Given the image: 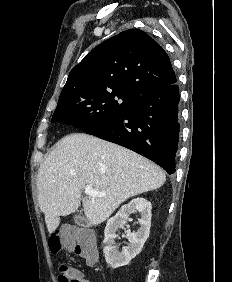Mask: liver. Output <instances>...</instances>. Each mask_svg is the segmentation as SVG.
Wrapping results in <instances>:
<instances>
[{
  "instance_id": "liver-1",
  "label": "liver",
  "mask_w": 232,
  "mask_h": 282,
  "mask_svg": "<svg viewBox=\"0 0 232 282\" xmlns=\"http://www.w3.org/2000/svg\"><path fill=\"white\" fill-rule=\"evenodd\" d=\"M165 181L163 170L141 155L94 136L72 133L58 141L40 165L38 203L51 234L61 216L78 209L87 185L106 193L83 202L89 222L98 225L125 200L158 189Z\"/></svg>"
}]
</instances>
